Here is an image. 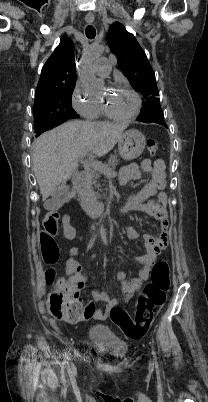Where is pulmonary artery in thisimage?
Masks as SVG:
<instances>
[{
    "mask_svg": "<svg viewBox=\"0 0 208 402\" xmlns=\"http://www.w3.org/2000/svg\"><path fill=\"white\" fill-rule=\"evenodd\" d=\"M94 51H96V54L101 55V50L94 49ZM107 63L108 59L106 57L101 56L97 58V60L92 65V71L99 75H107L109 73Z\"/></svg>",
    "mask_w": 208,
    "mask_h": 402,
    "instance_id": "1",
    "label": "pulmonary artery"
}]
</instances>
